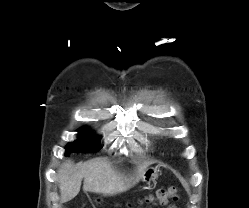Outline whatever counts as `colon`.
Returning <instances> with one entry per match:
<instances>
[{"label":"colon","mask_w":249,"mask_h":208,"mask_svg":"<svg viewBox=\"0 0 249 208\" xmlns=\"http://www.w3.org/2000/svg\"><path fill=\"white\" fill-rule=\"evenodd\" d=\"M178 199V190L175 187L158 189L154 194L145 197L142 202L145 204H167L168 201ZM120 208V207H118Z\"/></svg>","instance_id":"colon-1"}]
</instances>
